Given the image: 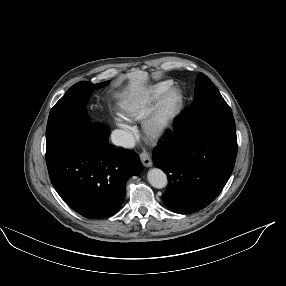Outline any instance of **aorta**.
Listing matches in <instances>:
<instances>
[{"mask_svg":"<svg viewBox=\"0 0 286 286\" xmlns=\"http://www.w3.org/2000/svg\"><path fill=\"white\" fill-rule=\"evenodd\" d=\"M147 178L149 183L157 189H162L166 187L167 185V176L166 174L158 169V168H152L148 171Z\"/></svg>","mask_w":286,"mask_h":286,"instance_id":"1","label":"aorta"}]
</instances>
